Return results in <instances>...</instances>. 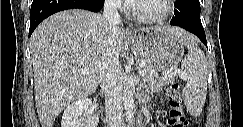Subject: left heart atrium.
<instances>
[{
  "label": "left heart atrium",
  "instance_id": "39dd6f15",
  "mask_svg": "<svg viewBox=\"0 0 243 127\" xmlns=\"http://www.w3.org/2000/svg\"><path fill=\"white\" fill-rule=\"evenodd\" d=\"M129 4H135V3H137L138 1L137 0H128L127 1Z\"/></svg>",
  "mask_w": 243,
  "mask_h": 127
}]
</instances>
